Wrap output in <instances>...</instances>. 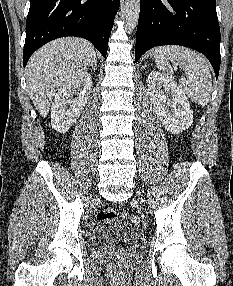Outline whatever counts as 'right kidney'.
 <instances>
[{
  "mask_svg": "<svg viewBox=\"0 0 233 286\" xmlns=\"http://www.w3.org/2000/svg\"><path fill=\"white\" fill-rule=\"evenodd\" d=\"M91 87V75L83 71L59 88L51 107V124L55 130L64 133L76 122L87 103ZM73 93L77 97L73 98Z\"/></svg>",
  "mask_w": 233,
  "mask_h": 286,
  "instance_id": "ca27d5eb",
  "label": "right kidney"
}]
</instances>
